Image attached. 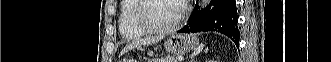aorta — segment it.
Returning a JSON list of instances; mask_svg holds the SVG:
<instances>
[{"mask_svg": "<svg viewBox=\"0 0 331 62\" xmlns=\"http://www.w3.org/2000/svg\"><path fill=\"white\" fill-rule=\"evenodd\" d=\"M210 0H202L201 1V7L204 8L209 4Z\"/></svg>", "mask_w": 331, "mask_h": 62, "instance_id": "1", "label": "aorta"}]
</instances>
